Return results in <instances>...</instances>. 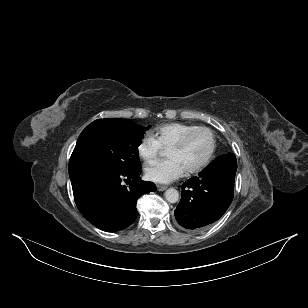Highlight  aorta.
<instances>
[{
    "instance_id": "aorta-1",
    "label": "aorta",
    "mask_w": 308,
    "mask_h": 308,
    "mask_svg": "<svg viewBox=\"0 0 308 308\" xmlns=\"http://www.w3.org/2000/svg\"><path fill=\"white\" fill-rule=\"evenodd\" d=\"M165 199L170 203H176L179 199V192L174 188H169L165 192Z\"/></svg>"
}]
</instances>
